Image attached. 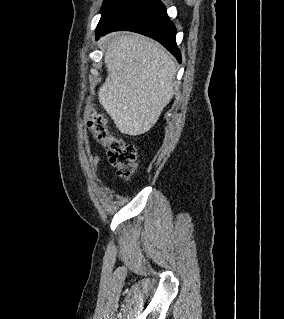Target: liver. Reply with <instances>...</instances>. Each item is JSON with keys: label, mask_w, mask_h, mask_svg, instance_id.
Wrapping results in <instances>:
<instances>
[{"label": "liver", "mask_w": 284, "mask_h": 319, "mask_svg": "<svg viewBox=\"0 0 284 319\" xmlns=\"http://www.w3.org/2000/svg\"><path fill=\"white\" fill-rule=\"evenodd\" d=\"M108 76L99 88L100 104L119 131L148 132L173 97L176 66L156 41L136 33L106 36Z\"/></svg>", "instance_id": "obj_1"}]
</instances>
